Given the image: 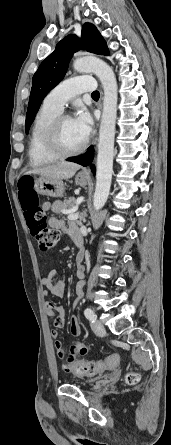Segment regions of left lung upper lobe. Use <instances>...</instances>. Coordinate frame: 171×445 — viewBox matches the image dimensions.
<instances>
[{
  "instance_id": "left-lung-upper-lobe-1",
  "label": "left lung upper lobe",
  "mask_w": 171,
  "mask_h": 445,
  "mask_svg": "<svg viewBox=\"0 0 171 445\" xmlns=\"http://www.w3.org/2000/svg\"><path fill=\"white\" fill-rule=\"evenodd\" d=\"M80 49L100 55L109 54L105 40L96 27L88 22L82 27L81 39L76 35L70 34L61 40L55 50L43 60L32 78V88L25 123L27 134L42 100L63 79L70 59Z\"/></svg>"
}]
</instances>
